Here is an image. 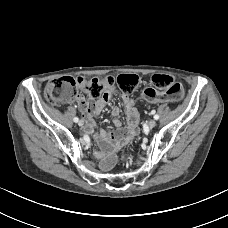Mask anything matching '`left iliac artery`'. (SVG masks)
<instances>
[{"label": "left iliac artery", "instance_id": "left-iliac-artery-1", "mask_svg": "<svg viewBox=\"0 0 228 228\" xmlns=\"http://www.w3.org/2000/svg\"><path fill=\"white\" fill-rule=\"evenodd\" d=\"M154 119H155V120H158V119H159V115H157V114L154 115Z\"/></svg>", "mask_w": 228, "mask_h": 228}]
</instances>
